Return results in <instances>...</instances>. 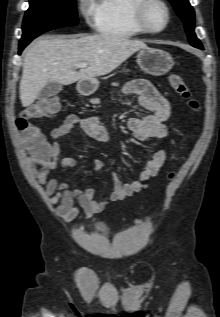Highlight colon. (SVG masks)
I'll use <instances>...</instances> for the list:
<instances>
[{
  "instance_id": "colon-1",
  "label": "colon",
  "mask_w": 220,
  "mask_h": 317,
  "mask_svg": "<svg viewBox=\"0 0 220 317\" xmlns=\"http://www.w3.org/2000/svg\"><path fill=\"white\" fill-rule=\"evenodd\" d=\"M169 83L174 91L186 104L194 110L199 108L198 102L192 97L185 81L178 74L169 76ZM60 108L59 98L49 96L43 98L20 113L15 124L21 134L22 144L29 153L31 166L44 168L51 159L52 147L44 134L33 123V120L54 115Z\"/></svg>"
}]
</instances>
